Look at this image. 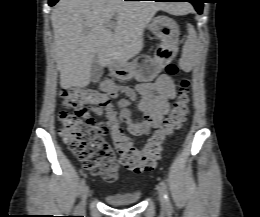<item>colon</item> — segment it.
<instances>
[{"label": "colon", "instance_id": "obj_1", "mask_svg": "<svg viewBox=\"0 0 260 217\" xmlns=\"http://www.w3.org/2000/svg\"><path fill=\"white\" fill-rule=\"evenodd\" d=\"M166 71L173 76L178 73V67L169 63ZM62 97L63 106L72 112H60L61 138L86 170L106 181L116 179L120 166L136 172L153 170L166 141L173 137L189 114V82L183 80L178 99L160 128L142 148H136L115 119L107 94L94 89L75 88L64 91ZM95 109L106 110L109 118L106 124L95 121L92 116ZM108 131L114 144L106 138Z\"/></svg>", "mask_w": 260, "mask_h": 217}]
</instances>
